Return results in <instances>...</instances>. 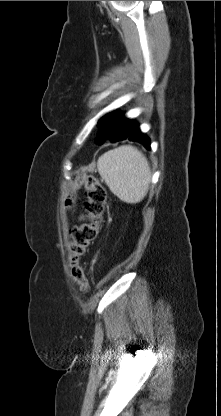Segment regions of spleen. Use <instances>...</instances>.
I'll return each instance as SVG.
<instances>
[{"mask_svg": "<svg viewBox=\"0 0 221 416\" xmlns=\"http://www.w3.org/2000/svg\"><path fill=\"white\" fill-rule=\"evenodd\" d=\"M100 176L122 201L138 203L146 196L151 171L146 157L131 145L105 152L97 161Z\"/></svg>", "mask_w": 221, "mask_h": 416, "instance_id": "3e777b00", "label": "spleen"}]
</instances>
